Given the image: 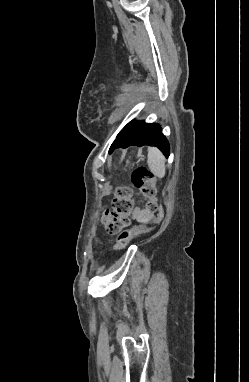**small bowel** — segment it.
Wrapping results in <instances>:
<instances>
[{
    "mask_svg": "<svg viewBox=\"0 0 249 382\" xmlns=\"http://www.w3.org/2000/svg\"><path fill=\"white\" fill-rule=\"evenodd\" d=\"M132 216L136 219H143L147 216V213L145 212V210H141L139 208H136L133 212H132Z\"/></svg>",
    "mask_w": 249,
    "mask_h": 382,
    "instance_id": "small-bowel-1",
    "label": "small bowel"
}]
</instances>
